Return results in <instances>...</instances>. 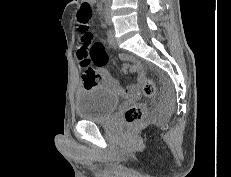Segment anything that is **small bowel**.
I'll return each mask as SVG.
<instances>
[{
  "mask_svg": "<svg viewBox=\"0 0 231 177\" xmlns=\"http://www.w3.org/2000/svg\"><path fill=\"white\" fill-rule=\"evenodd\" d=\"M95 0H85V2L83 4H89L91 6L92 3H94ZM106 42L109 45H114V36L111 32L107 33L106 38H105ZM120 59L124 60V61H130L132 62L131 64H124L122 66V71L123 72H132V73H137L138 74V79L136 83L130 84L126 89H124L120 83L111 76V74L103 68V65L98 66V70H96L98 78L97 80L94 82H87L84 77H83V82L85 86H93V85H98V84H103L106 87L113 89L114 91H116L119 94L122 95H132L134 94L139 85L141 84V82L144 79V67L143 65L135 60L133 57L127 55V54H121L120 55Z\"/></svg>",
  "mask_w": 231,
  "mask_h": 177,
  "instance_id": "1",
  "label": "small bowel"
}]
</instances>
